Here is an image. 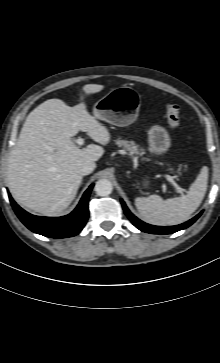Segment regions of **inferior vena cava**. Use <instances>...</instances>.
Instances as JSON below:
<instances>
[{
  "mask_svg": "<svg viewBox=\"0 0 220 363\" xmlns=\"http://www.w3.org/2000/svg\"><path fill=\"white\" fill-rule=\"evenodd\" d=\"M96 167L95 162L93 161H85L81 164L80 171L82 175H88L94 171Z\"/></svg>",
  "mask_w": 220,
  "mask_h": 363,
  "instance_id": "inferior-vena-cava-1",
  "label": "inferior vena cava"
}]
</instances>
